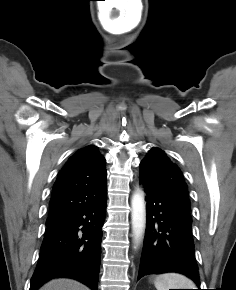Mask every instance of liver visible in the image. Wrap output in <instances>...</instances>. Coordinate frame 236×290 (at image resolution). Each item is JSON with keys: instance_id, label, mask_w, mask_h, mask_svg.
I'll list each match as a JSON object with an SVG mask.
<instances>
[{"instance_id": "liver-1", "label": "liver", "mask_w": 236, "mask_h": 290, "mask_svg": "<svg viewBox=\"0 0 236 290\" xmlns=\"http://www.w3.org/2000/svg\"><path fill=\"white\" fill-rule=\"evenodd\" d=\"M39 290H89V289L75 280L62 278L49 281Z\"/></svg>"}]
</instances>
